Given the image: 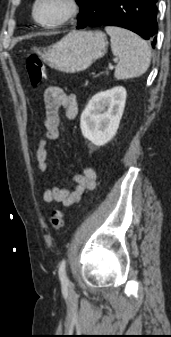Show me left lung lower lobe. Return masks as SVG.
Instances as JSON below:
<instances>
[{
	"label": "left lung lower lobe",
	"instance_id": "0a47b994",
	"mask_svg": "<svg viewBox=\"0 0 171 337\" xmlns=\"http://www.w3.org/2000/svg\"><path fill=\"white\" fill-rule=\"evenodd\" d=\"M158 0H89L77 28L119 26L156 44Z\"/></svg>",
	"mask_w": 171,
	"mask_h": 337
}]
</instances>
